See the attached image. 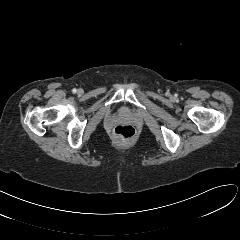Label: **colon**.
I'll list each match as a JSON object with an SVG mask.
<instances>
[{
  "label": "colon",
  "instance_id": "1",
  "mask_svg": "<svg viewBox=\"0 0 240 240\" xmlns=\"http://www.w3.org/2000/svg\"><path fill=\"white\" fill-rule=\"evenodd\" d=\"M114 133H115V135H117L118 137H120L122 139H131L132 137H134L136 131L133 126L127 125V124H122V125H118L117 127H115Z\"/></svg>",
  "mask_w": 240,
  "mask_h": 240
}]
</instances>
